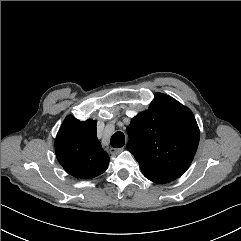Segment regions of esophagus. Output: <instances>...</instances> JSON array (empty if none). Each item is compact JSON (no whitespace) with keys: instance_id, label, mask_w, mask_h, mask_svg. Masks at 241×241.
I'll use <instances>...</instances> for the list:
<instances>
[{"instance_id":"obj_1","label":"esophagus","mask_w":241,"mask_h":241,"mask_svg":"<svg viewBox=\"0 0 241 241\" xmlns=\"http://www.w3.org/2000/svg\"><path fill=\"white\" fill-rule=\"evenodd\" d=\"M124 149L123 148H110L109 152L112 155H117L121 153Z\"/></svg>"}]
</instances>
